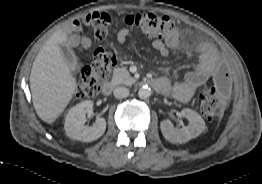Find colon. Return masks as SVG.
<instances>
[{
  "mask_svg": "<svg viewBox=\"0 0 262 184\" xmlns=\"http://www.w3.org/2000/svg\"><path fill=\"white\" fill-rule=\"evenodd\" d=\"M82 20L92 27L97 42L107 36L113 22L112 16L106 12H91L84 15ZM123 22L126 26L136 28L154 39H163L175 32V23L170 17L153 12L130 14L124 17ZM116 60L115 54L98 47L94 51L93 61L81 71L76 97L87 98L97 95L103 82L110 76ZM230 88V73L227 66L223 65L214 82L204 87L199 94V109L206 118L213 119L219 116L223 101L227 98Z\"/></svg>",
  "mask_w": 262,
  "mask_h": 184,
  "instance_id": "1",
  "label": "colon"
}]
</instances>
